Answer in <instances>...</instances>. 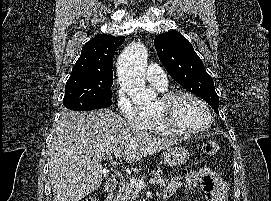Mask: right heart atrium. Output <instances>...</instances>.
I'll use <instances>...</instances> for the list:
<instances>
[{"label":"right heart atrium","instance_id":"d8ad5b80","mask_svg":"<svg viewBox=\"0 0 271 201\" xmlns=\"http://www.w3.org/2000/svg\"><path fill=\"white\" fill-rule=\"evenodd\" d=\"M117 106L124 121L130 126L145 128L151 120L150 117L143 115L135 107L131 99L124 92H118Z\"/></svg>","mask_w":271,"mask_h":201}]
</instances>
